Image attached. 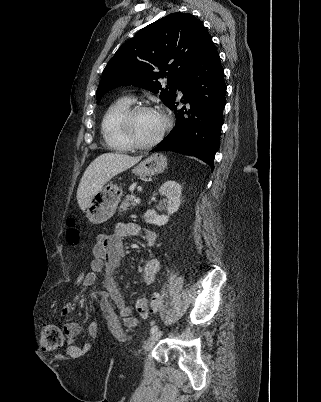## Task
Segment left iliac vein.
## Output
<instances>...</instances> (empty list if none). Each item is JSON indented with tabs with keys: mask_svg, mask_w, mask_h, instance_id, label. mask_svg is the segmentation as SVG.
<instances>
[{
	"mask_svg": "<svg viewBox=\"0 0 321 402\" xmlns=\"http://www.w3.org/2000/svg\"><path fill=\"white\" fill-rule=\"evenodd\" d=\"M162 336V331H156L155 333H153L149 339L147 340V342L145 343L144 349L145 352H148L149 350L152 349V347L155 345V343L160 339V337Z\"/></svg>",
	"mask_w": 321,
	"mask_h": 402,
	"instance_id": "left-iliac-vein-1",
	"label": "left iliac vein"
}]
</instances>
